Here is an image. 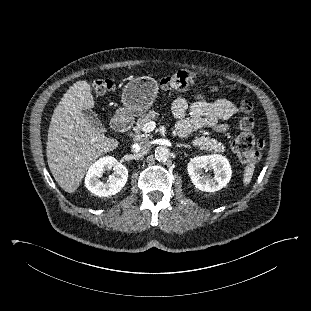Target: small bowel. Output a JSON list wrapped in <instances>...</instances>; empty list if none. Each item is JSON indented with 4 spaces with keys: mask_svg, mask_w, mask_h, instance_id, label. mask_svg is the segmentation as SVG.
<instances>
[{
    "mask_svg": "<svg viewBox=\"0 0 311 311\" xmlns=\"http://www.w3.org/2000/svg\"><path fill=\"white\" fill-rule=\"evenodd\" d=\"M210 91L217 92L218 87H210ZM173 115L178 119L176 130L180 136H188L198 129H210L217 132L228 130L227 124H220L219 120H226L239 113V108L230 100L221 98L210 101L205 94L198 93L189 104L185 98H177L172 104Z\"/></svg>",
    "mask_w": 311,
    "mask_h": 311,
    "instance_id": "obj_1",
    "label": "small bowel"
}]
</instances>
